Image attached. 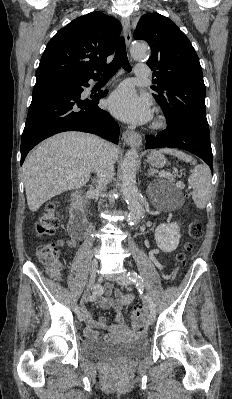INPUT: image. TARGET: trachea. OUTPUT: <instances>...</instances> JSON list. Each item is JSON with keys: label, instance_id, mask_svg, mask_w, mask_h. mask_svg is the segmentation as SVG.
Wrapping results in <instances>:
<instances>
[{"label": "trachea", "instance_id": "trachea-1", "mask_svg": "<svg viewBox=\"0 0 232 399\" xmlns=\"http://www.w3.org/2000/svg\"><path fill=\"white\" fill-rule=\"evenodd\" d=\"M121 67L127 72H131L132 67L129 64L124 38L119 39L115 57L112 62L104 68L102 77H112Z\"/></svg>", "mask_w": 232, "mask_h": 399}]
</instances>
